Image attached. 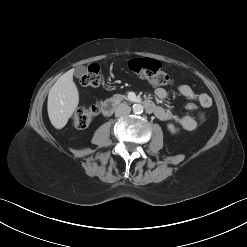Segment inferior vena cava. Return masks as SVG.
Here are the masks:
<instances>
[{
	"label": "inferior vena cava",
	"mask_w": 247,
	"mask_h": 247,
	"mask_svg": "<svg viewBox=\"0 0 247 247\" xmlns=\"http://www.w3.org/2000/svg\"><path fill=\"white\" fill-rule=\"evenodd\" d=\"M131 112V108L128 104L126 103H121L117 106L116 111H115V115L117 117H121V116H126Z\"/></svg>",
	"instance_id": "1"
}]
</instances>
